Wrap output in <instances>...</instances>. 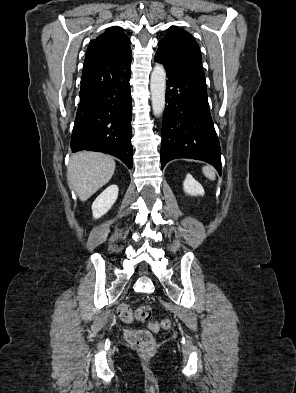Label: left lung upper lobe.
<instances>
[{
  "mask_svg": "<svg viewBox=\"0 0 296 393\" xmlns=\"http://www.w3.org/2000/svg\"><path fill=\"white\" fill-rule=\"evenodd\" d=\"M163 63L185 69L202 70L199 46L191 34L176 26L169 28L155 55Z\"/></svg>",
  "mask_w": 296,
  "mask_h": 393,
  "instance_id": "1",
  "label": "left lung upper lobe"
}]
</instances>
